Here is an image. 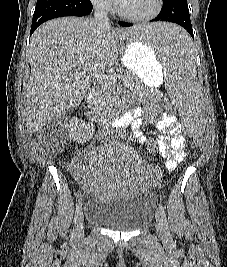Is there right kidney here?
Instances as JSON below:
<instances>
[{"label":"right kidney","instance_id":"obj_1","mask_svg":"<svg viewBox=\"0 0 227 267\" xmlns=\"http://www.w3.org/2000/svg\"><path fill=\"white\" fill-rule=\"evenodd\" d=\"M68 133L73 141L83 144L93 137L94 126L75 117L69 121Z\"/></svg>","mask_w":227,"mask_h":267}]
</instances>
